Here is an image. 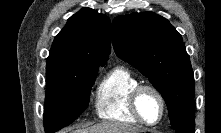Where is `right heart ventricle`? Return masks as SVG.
I'll use <instances>...</instances> for the list:
<instances>
[{
	"label": "right heart ventricle",
	"instance_id": "obj_1",
	"mask_svg": "<svg viewBox=\"0 0 221 133\" xmlns=\"http://www.w3.org/2000/svg\"><path fill=\"white\" fill-rule=\"evenodd\" d=\"M140 84L138 77L128 68L118 66L111 69L96 89L97 115L108 121L138 124L130 110L129 98L133 89Z\"/></svg>",
	"mask_w": 221,
	"mask_h": 133
}]
</instances>
